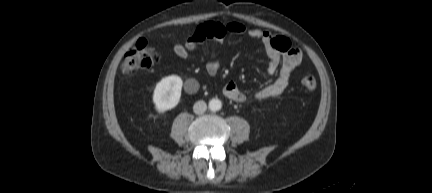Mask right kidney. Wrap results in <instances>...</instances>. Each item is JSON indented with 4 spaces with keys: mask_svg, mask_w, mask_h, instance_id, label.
I'll return each instance as SVG.
<instances>
[{
    "mask_svg": "<svg viewBox=\"0 0 432 193\" xmlns=\"http://www.w3.org/2000/svg\"><path fill=\"white\" fill-rule=\"evenodd\" d=\"M183 81L178 75H170L157 83L153 92V103L158 113L175 108L181 97Z\"/></svg>",
    "mask_w": 432,
    "mask_h": 193,
    "instance_id": "ca27d5eb",
    "label": "right kidney"
}]
</instances>
